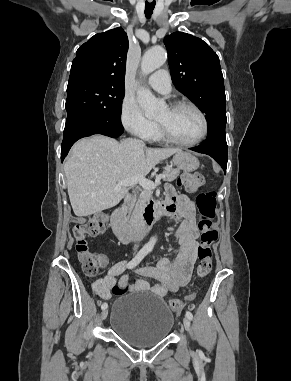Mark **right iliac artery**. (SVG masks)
Listing matches in <instances>:
<instances>
[{
  "label": "right iliac artery",
  "instance_id": "right-iliac-artery-1",
  "mask_svg": "<svg viewBox=\"0 0 291 381\" xmlns=\"http://www.w3.org/2000/svg\"><path fill=\"white\" fill-rule=\"evenodd\" d=\"M148 253V250L147 249H141L137 255L127 264V268H134L135 266H137L141 261L142 259L146 256V254ZM108 307V304L107 303H103L101 305V308L102 309H106Z\"/></svg>",
  "mask_w": 291,
  "mask_h": 381
}]
</instances>
